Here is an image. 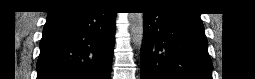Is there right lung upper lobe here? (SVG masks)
<instances>
[{
    "instance_id": "obj_1",
    "label": "right lung upper lobe",
    "mask_w": 255,
    "mask_h": 79,
    "mask_svg": "<svg viewBox=\"0 0 255 79\" xmlns=\"http://www.w3.org/2000/svg\"><path fill=\"white\" fill-rule=\"evenodd\" d=\"M84 2H88V1H84V0H60V1L56 2V5L54 6V8H61V7L71 6V5H78V4H82Z\"/></svg>"
}]
</instances>
